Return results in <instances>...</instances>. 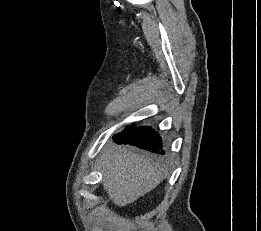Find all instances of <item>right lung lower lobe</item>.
Instances as JSON below:
<instances>
[{"mask_svg":"<svg viewBox=\"0 0 261 231\" xmlns=\"http://www.w3.org/2000/svg\"><path fill=\"white\" fill-rule=\"evenodd\" d=\"M113 139L117 144H129L156 154H165L160 136L149 127L128 126L114 135Z\"/></svg>","mask_w":261,"mask_h":231,"instance_id":"right-lung-lower-lobe-1","label":"right lung lower lobe"}]
</instances>
